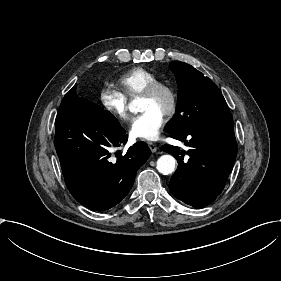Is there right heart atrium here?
<instances>
[{"label":"right heart atrium","instance_id":"d8ad5b80","mask_svg":"<svg viewBox=\"0 0 281 281\" xmlns=\"http://www.w3.org/2000/svg\"><path fill=\"white\" fill-rule=\"evenodd\" d=\"M99 99L102 107L111 117L124 122L131 119L126 98L120 91L104 86L100 90Z\"/></svg>","mask_w":281,"mask_h":281}]
</instances>
